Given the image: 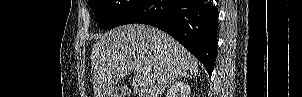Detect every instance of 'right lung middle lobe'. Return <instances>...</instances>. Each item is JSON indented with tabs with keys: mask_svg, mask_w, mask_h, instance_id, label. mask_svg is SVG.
I'll list each match as a JSON object with an SVG mask.
<instances>
[{
	"mask_svg": "<svg viewBox=\"0 0 302 97\" xmlns=\"http://www.w3.org/2000/svg\"><path fill=\"white\" fill-rule=\"evenodd\" d=\"M143 0H89L98 26L103 29L114 28L124 21V19Z\"/></svg>",
	"mask_w": 302,
	"mask_h": 97,
	"instance_id": "1",
	"label": "right lung middle lobe"
}]
</instances>
